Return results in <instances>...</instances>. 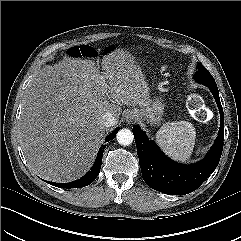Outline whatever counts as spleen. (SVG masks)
<instances>
[{
	"label": "spleen",
	"mask_w": 241,
	"mask_h": 241,
	"mask_svg": "<svg viewBox=\"0 0 241 241\" xmlns=\"http://www.w3.org/2000/svg\"><path fill=\"white\" fill-rule=\"evenodd\" d=\"M196 138L194 126L186 121L168 122L156 133V142L162 151L175 161H189Z\"/></svg>",
	"instance_id": "spleen-1"
}]
</instances>
